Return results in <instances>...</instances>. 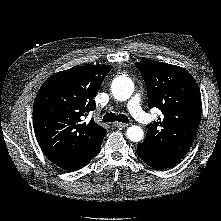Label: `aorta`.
I'll return each mask as SVG.
<instances>
[{"label":"aorta","instance_id":"aorta-1","mask_svg":"<svg viewBox=\"0 0 221 221\" xmlns=\"http://www.w3.org/2000/svg\"><path fill=\"white\" fill-rule=\"evenodd\" d=\"M114 98L120 101L129 99L134 91V84L128 77H121L115 80L111 87ZM127 138L133 142H139L143 139L144 132L139 126H131L127 129Z\"/></svg>","mask_w":221,"mask_h":221}]
</instances>
